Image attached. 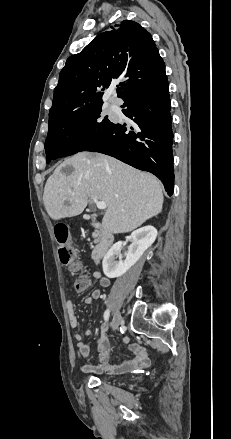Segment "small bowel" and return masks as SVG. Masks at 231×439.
<instances>
[{
    "label": "small bowel",
    "instance_id": "1",
    "mask_svg": "<svg viewBox=\"0 0 231 439\" xmlns=\"http://www.w3.org/2000/svg\"><path fill=\"white\" fill-rule=\"evenodd\" d=\"M93 279L99 283L102 287H108L110 285V280L104 276L101 272L95 271L92 274ZM102 294L99 289H95L92 293L85 297V304H92L94 300L101 298ZM66 310L69 318L70 327L76 329L78 326V320L75 312V305L72 300L68 299L66 301ZM108 326L106 324L102 325V331L105 332ZM92 334V330L87 328L85 330V335L89 336ZM74 338L77 342V349L80 357L86 359L90 354L89 344L84 340L83 336L80 333H75ZM124 344H129V338H123ZM98 351H99V361L100 364L93 365H85L82 367L84 372L88 373H108V374H117L123 373L134 369L145 368L149 365V358L146 350L140 346L139 344H130L129 350L132 353V358L124 360L120 363H112L111 362V349L107 338L104 335H101L97 341Z\"/></svg>",
    "mask_w": 231,
    "mask_h": 439
}]
</instances>
